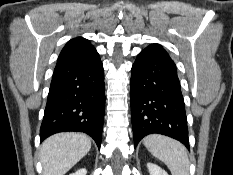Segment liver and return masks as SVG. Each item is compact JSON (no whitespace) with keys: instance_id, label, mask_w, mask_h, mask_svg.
I'll list each match as a JSON object with an SVG mask.
<instances>
[{"instance_id":"6515ba94","label":"liver","mask_w":233,"mask_h":175,"mask_svg":"<svg viewBox=\"0 0 233 175\" xmlns=\"http://www.w3.org/2000/svg\"><path fill=\"white\" fill-rule=\"evenodd\" d=\"M90 148V138L82 133L63 132L50 136L41 146L43 175L66 174Z\"/></svg>"}]
</instances>
